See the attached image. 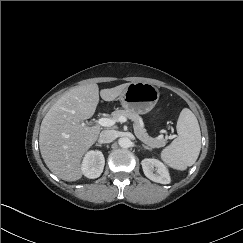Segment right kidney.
I'll return each mask as SVG.
<instances>
[{"label":"right kidney","instance_id":"obj_1","mask_svg":"<svg viewBox=\"0 0 243 243\" xmlns=\"http://www.w3.org/2000/svg\"><path fill=\"white\" fill-rule=\"evenodd\" d=\"M105 165L104 155L101 151H89L82 162V173L90 179H95L101 175Z\"/></svg>","mask_w":243,"mask_h":243}]
</instances>
